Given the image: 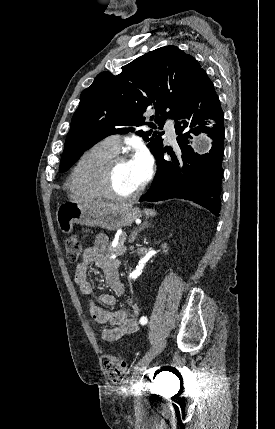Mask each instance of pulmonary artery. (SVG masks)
Here are the masks:
<instances>
[{
    "instance_id": "1",
    "label": "pulmonary artery",
    "mask_w": 275,
    "mask_h": 429,
    "mask_svg": "<svg viewBox=\"0 0 275 429\" xmlns=\"http://www.w3.org/2000/svg\"><path fill=\"white\" fill-rule=\"evenodd\" d=\"M165 130L168 135V138L171 142L175 141L176 133L175 128L172 122L168 121L165 124ZM104 145H106L109 149L118 152L121 146V139L118 135H111L105 138L103 141Z\"/></svg>"
}]
</instances>
